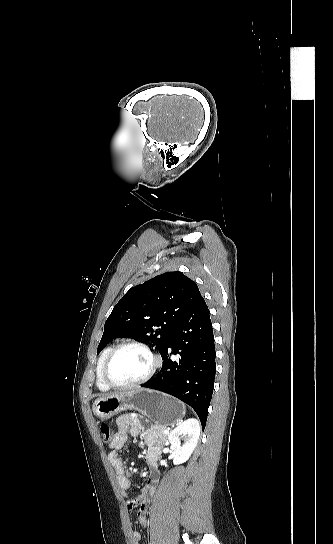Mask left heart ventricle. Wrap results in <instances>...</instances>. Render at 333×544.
Returning <instances> with one entry per match:
<instances>
[{
  "mask_svg": "<svg viewBox=\"0 0 333 544\" xmlns=\"http://www.w3.org/2000/svg\"><path fill=\"white\" fill-rule=\"evenodd\" d=\"M151 366V359L139 348L120 350L109 367V377L115 383H129L143 377Z\"/></svg>",
  "mask_w": 333,
  "mask_h": 544,
  "instance_id": "obj_1",
  "label": "left heart ventricle"
}]
</instances>
